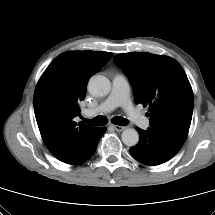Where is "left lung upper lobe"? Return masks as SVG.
Masks as SVG:
<instances>
[{"instance_id":"5c2ea615","label":"left lung upper lobe","mask_w":215,"mask_h":215,"mask_svg":"<svg viewBox=\"0 0 215 215\" xmlns=\"http://www.w3.org/2000/svg\"><path fill=\"white\" fill-rule=\"evenodd\" d=\"M114 62L128 77L135 103L149 106L150 129L182 147L194 98L181 65L173 58L150 53H123Z\"/></svg>"}]
</instances>
